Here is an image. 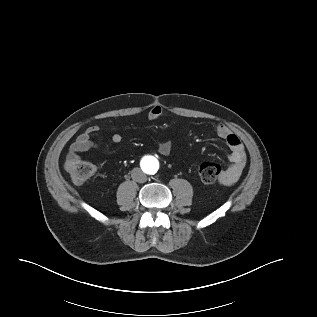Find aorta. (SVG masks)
<instances>
[{
	"label": "aorta",
	"mask_w": 317,
	"mask_h": 317,
	"mask_svg": "<svg viewBox=\"0 0 317 317\" xmlns=\"http://www.w3.org/2000/svg\"><path fill=\"white\" fill-rule=\"evenodd\" d=\"M157 160H155L154 159V161H153V167H151V168H149V173L150 174H155L156 173V171H157Z\"/></svg>",
	"instance_id": "obj_1"
}]
</instances>
